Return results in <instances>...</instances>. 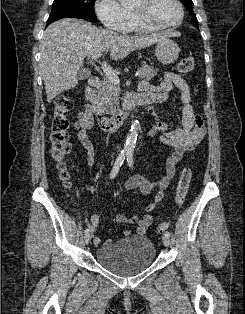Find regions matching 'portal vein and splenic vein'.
<instances>
[{
    "label": "portal vein and splenic vein",
    "instance_id": "18ae733b",
    "mask_svg": "<svg viewBox=\"0 0 245 314\" xmlns=\"http://www.w3.org/2000/svg\"><path fill=\"white\" fill-rule=\"evenodd\" d=\"M101 55H102V53L94 54L92 56V59L96 61ZM101 67H102L103 72L105 73V75L109 79V81H111L114 84H119L120 83L119 77L116 75L114 70L109 65H107L105 63H102ZM139 75H140V71H137L135 73V77H138Z\"/></svg>",
    "mask_w": 245,
    "mask_h": 314
}]
</instances>
